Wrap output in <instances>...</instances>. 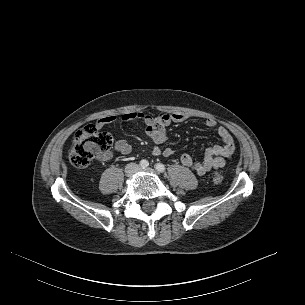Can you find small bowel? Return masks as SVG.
I'll return each mask as SVG.
<instances>
[{
    "mask_svg": "<svg viewBox=\"0 0 305 305\" xmlns=\"http://www.w3.org/2000/svg\"><path fill=\"white\" fill-rule=\"evenodd\" d=\"M188 119L183 113H167L162 112L157 116L144 114L141 112H128L118 116L110 115L99 119L95 126L98 129L115 123L118 120L123 122H140L144 125L145 133L149 139L156 144H162L168 139V127L174 123H182ZM205 125L208 128H215L217 122L214 119H207ZM217 134L221 139V145H215L208 148L201 159H195L191 154L184 153L180 157V161L184 166L194 170L199 175H204L213 169L221 168L225 165L226 159L232 157L235 152V142L229 130L223 126L217 128ZM115 150L122 154L131 153V145L126 140H117L114 145ZM154 156L162 155L166 158L174 156L175 152L172 148L162 149L159 146L152 148ZM101 161H108L112 158L111 152H104L100 155Z\"/></svg>",
    "mask_w": 305,
    "mask_h": 305,
    "instance_id": "obj_1",
    "label": "small bowel"
}]
</instances>
